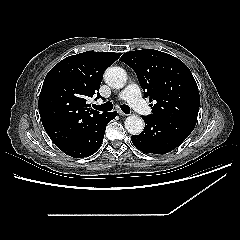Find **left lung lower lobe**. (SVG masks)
Masks as SVG:
<instances>
[{"instance_id": "0a47b994", "label": "left lung lower lobe", "mask_w": 240, "mask_h": 240, "mask_svg": "<svg viewBox=\"0 0 240 240\" xmlns=\"http://www.w3.org/2000/svg\"><path fill=\"white\" fill-rule=\"evenodd\" d=\"M144 131L131 136L134 146L143 153L166 154L178 147L193 131L197 119H156L142 116Z\"/></svg>"}]
</instances>
